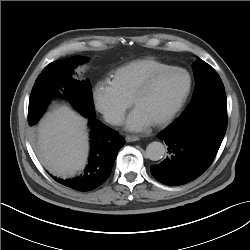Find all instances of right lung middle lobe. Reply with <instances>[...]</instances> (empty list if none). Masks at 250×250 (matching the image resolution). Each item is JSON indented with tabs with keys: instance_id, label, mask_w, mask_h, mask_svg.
Here are the masks:
<instances>
[{
	"instance_id": "1",
	"label": "right lung middle lobe",
	"mask_w": 250,
	"mask_h": 250,
	"mask_svg": "<svg viewBox=\"0 0 250 250\" xmlns=\"http://www.w3.org/2000/svg\"><path fill=\"white\" fill-rule=\"evenodd\" d=\"M86 57L75 56L49 64L38 76L29 100L28 123L37 122L48 103L55 96L67 97L84 116H95L91 84L70 77L73 69L84 63ZM60 90L63 94L60 93Z\"/></svg>"
}]
</instances>
